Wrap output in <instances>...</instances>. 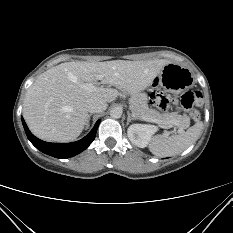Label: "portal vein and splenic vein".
I'll return each mask as SVG.
<instances>
[{
    "mask_svg": "<svg viewBox=\"0 0 233 233\" xmlns=\"http://www.w3.org/2000/svg\"><path fill=\"white\" fill-rule=\"evenodd\" d=\"M102 75H98V79H102ZM98 87H96V86H93V85H90V86H88L87 87V89L88 90H96ZM103 90V89H102ZM146 121H149V120H146ZM153 122H156V121H153ZM156 123H158V122H156ZM168 124H173V122H170V123H166L165 125H168ZM179 132H182V129H179L178 130ZM173 132V131H172ZM172 132H168L167 134H169V133H172Z\"/></svg>",
    "mask_w": 233,
    "mask_h": 233,
    "instance_id": "portal-vein-and-splenic-vein-1",
    "label": "portal vein and splenic vein"
}]
</instances>
